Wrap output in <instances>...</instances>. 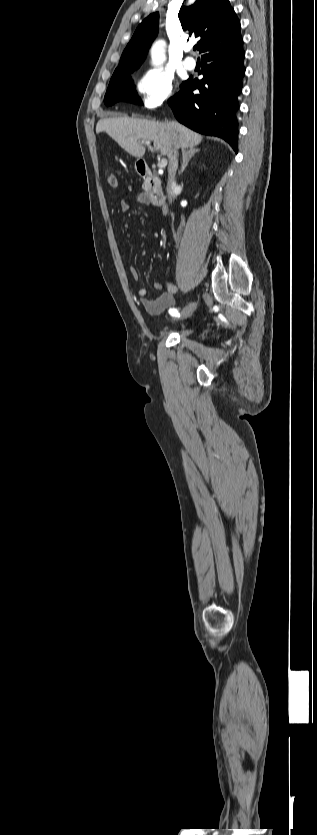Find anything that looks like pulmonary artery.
I'll return each instance as SVG.
<instances>
[{"instance_id": "pulmonary-artery-1", "label": "pulmonary artery", "mask_w": 317, "mask_h": 835, "mask_svg": "<svg viewBox=\"0 0 317 835\" xmlns=\"http://www.w3.org/2000/svg\"><path fill=\"white\" fill-rule=\"evenodd\" d=\"M192 48H193V47H192L191 45H188V46L186 47V51H187V52H190V51L192 50ZM183 64H184V67H185L186 69H188V70H193V69H195L197 62H196V59H195L194 57H192V56H187V57L184 59Z\"/></svg>"}]
</instances>
